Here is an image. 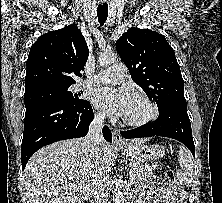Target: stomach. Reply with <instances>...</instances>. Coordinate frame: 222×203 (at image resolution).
<instances>
[{
	"label": "stomach",
	"mask_w": 222,
	"mask_h": 203,
	"mask_svg": "<svg viewBox=\"0 0 222 203\" xmlns=\"http://www.w3.org/2000/svg\"><path fill=\"white\" fill-rule=\"evenodd\" d=\"M122 152L139 161L157 160L164 156L165 148L158 144L144 145L131 143L121 148Z\"/></svg>",
	"instance_id": "1"
}]
</instances>
